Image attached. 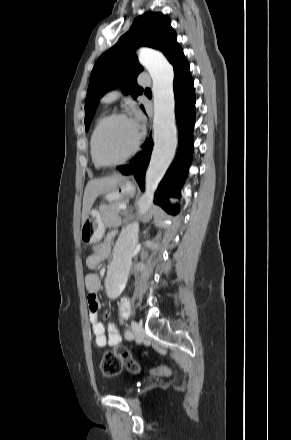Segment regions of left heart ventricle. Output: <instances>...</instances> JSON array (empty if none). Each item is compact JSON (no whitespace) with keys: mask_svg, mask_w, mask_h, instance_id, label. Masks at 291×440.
Here are the masks:
<instances>
[{"mask_svg":"<svg viewBox=\"0 0 291 440\" xmlns=\"http://www.w3.org/2000/svg\"><path fill=\"white\" fill-rule=\"evenodd\" d=\"M137 137L130 119H114L102 128L98 138V152L108 161L123 159L133 148Z\"/></svg>","mask_w":291,"mask_h":440,"instance_id":"obj_1","label":"left heart ventricle"}]
</instances>
